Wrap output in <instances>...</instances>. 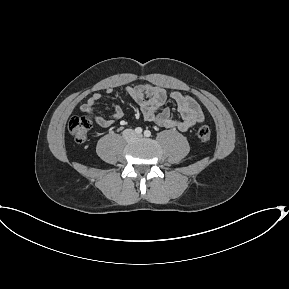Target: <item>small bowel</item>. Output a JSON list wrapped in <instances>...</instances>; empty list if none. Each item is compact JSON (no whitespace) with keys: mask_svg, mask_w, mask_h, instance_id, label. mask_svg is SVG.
I'll use <instances>...</instances> for the list:
<instances>
[{"mask_svg":"<svg viewBox=\"0 0 289 289\" xmlns=\"http://www.w3.org/2000/svg\"><path fill=\"white\" fill-rule=\"evenodd\" d=\"M112 91L111 88L107 89L109 94ZM125 92L139 105L144 119L159 126L175 128L184 132L204 121V113L201 106L192 97L180 92L174 91L168 95L165 89L151 84L127 86ZM168 97L176 103L180 118H175L170 108H164L159 111ZM101 98L102 95L100 93L93 94L81 106V111L92 116L98 126L107 128L113 123L120 121L124 117V112L119 105L113 104L114 112L110 118H106L104 115H96L95 107Z\"/></svg>","mask_w":289,"mask_h":289,"instance_id":"1","label":"small bowel"}]
</instances>
